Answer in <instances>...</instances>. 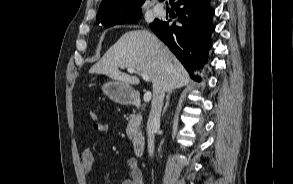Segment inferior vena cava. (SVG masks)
<instances>
[{
	"mask_svg": "<svg viewBox=\"0 0 293 184\" xmlns=\"http://www.w3.org/2000/svg\"><path fill=\"white\" fill-rule=\"evenodd\" d=\"M165 96V90H160L153 96L151 111L147 122L148 153L152 157L154 154L155 131L160 126V116Z\"/></svg>",
	"mask_w": 293,
	"mask_h": 184,
	"instance_id": "inferior-vena-cava-1",
	"label": "inferior vena cava"
}]
</instances>
